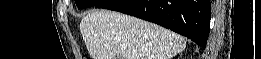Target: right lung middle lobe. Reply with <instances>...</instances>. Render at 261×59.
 Masks as SVG:
<instances>
[{
    "instance_id": "1",
    "label": "right lung middle lobe",
    "mask_w": 261,
    "mask_h": 59,
    "mask_svg": "<svg viewBox=\"0 0 261 59\" xmlns=\"http://www.w3.org/2000/svg\"><path fill=\"white\" fill-rule=\"evenodd\" d=\"M103 0H75L77 7L80 8H89L94 7Z\"/></svg>"
}]
</instances>
